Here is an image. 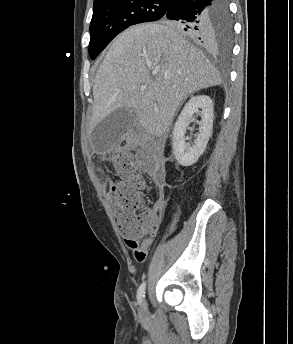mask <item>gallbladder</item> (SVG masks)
<instances>
[{
	"instance_id": "1",
	"label": "gallbladder",
	"mask_w": 293,
	"mask_h": 344,
	"mask_svg": "<svg viewBox=\"0 0 293 344\" xmlns=\"http://www.w3.org/2000/svg\"><path fill=\"white\" fill-rule=\"evenodd\" d=\"M135 114L128 108H119L107 115L92 131L95 150L105 153L116 145L133 127Z\"/></svg>"
}]
</instances>
